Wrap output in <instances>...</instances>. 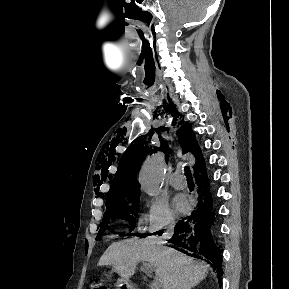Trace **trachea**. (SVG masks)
<instances>
[{
	"label": "trachea",
	"mask_w": 289,
	"mask_h": 289,
	"mask_svg": "<svg viewBox=\"0 0 289 289\" xmlns=\"http://www.w3.org/2000/svg\"><path fill=\"white\" fill-rule=\"evenodd\" d=\"M184 172H185V176H186V178H187V181H193L190 168L186 166V167L184 168Z\"/></svg>",
	"instance_id": "1"
}]
</instances>
